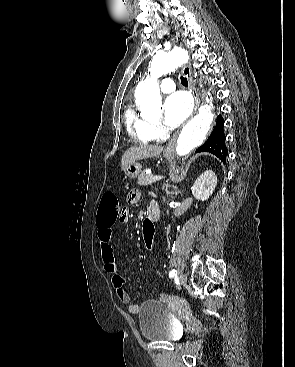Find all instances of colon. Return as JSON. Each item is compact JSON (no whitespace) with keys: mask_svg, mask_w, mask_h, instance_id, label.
Instances as JSON below:
<instances>
[{"mask_svg":"<svg viewBox=\"0 0 295 367\" xmlns=\"http://www.w3.org/2000/svg\"><path fill=\"white\" fill-rule=\"evenodd\" d=\"M118 198L113 193H106L102 197L98 214V222L111 223L118 220L120 213ZM144 246L151 249L155 246L156 228L152 219H143L140 225Z\"/></svg>","mask_w":295,"mask_h":367,"instance_id":"colon-1","label":"colon"}]
</instances>
